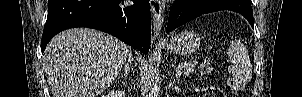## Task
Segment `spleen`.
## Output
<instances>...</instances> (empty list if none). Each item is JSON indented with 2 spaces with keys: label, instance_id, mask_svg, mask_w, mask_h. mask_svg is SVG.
<instances>
[{
  "label": "spleen",
  "instance_id": "1",
  "mask_svg": "<svg viewBox=\"0 0 302 97\" xmlns=\"http://www.w3.org/2000/svg\"><path fill=\"white\" fill-rule=\"evenodd\" d=\"M228 57L232 62L229 72L233 77L244 82L250 81L252 78V69L248 51L243 43L239 40L232 41L228 49Z\"/></svg>",
  "mask_w": 302,
  "mask_h": 97
}]
</instances>
